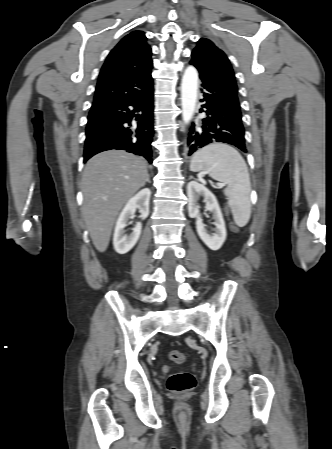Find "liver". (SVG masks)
Instances as JSON below:
<instances>
[{"label":"liver","instance_id":"1","mask_svg":"<svg viewBox=\"0 0 332 449\" xmlns=\"http://www.w3.org/2000/svg\"><path fill=\"white\" fill-rule=\"evenodd\" d=\"M146 161L121 150L92 157L82 177V215L95 248L104 252L124 204L147 181Z\"/></svg>","mask_w":332,"mask_h":449}]
</instances>
